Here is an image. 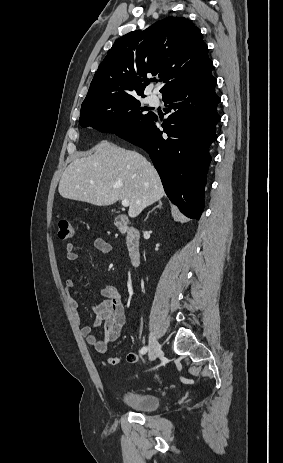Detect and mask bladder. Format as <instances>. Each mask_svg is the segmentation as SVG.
Here are the masks:
<instances>
[{"instance_id":"1","label":"bladder","mask_w":283,"mask_h":463,"mask_svg":"<svg viewBox=\"0 0 283 463\" xmlns=\"http://www.w3.org/2000/svg\"><path fill=\"white\" fill-rule=\"evenodd\" d=\"M122 402L141 412H153L159 407V397L145 392L127 391L122 395Z\"/></svg>"}]
</instances>
